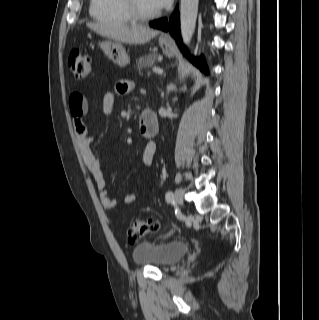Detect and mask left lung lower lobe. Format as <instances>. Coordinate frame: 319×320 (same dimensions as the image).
Here are the masks:
<instances>
[{
	"label": "left lung lower lobe",
	"instance_id": "left-lung-lower-lobe-1",
	"mask_svg": "<svg viewBox=\"0 0 319 320\" xmlns=\"http://www.w3.org/2000/svg\"><path fill=\"white\" fill-rule=\"evenodd\" d=\"M150 26L153 28L161 29L163 31H169L170 34L173 36V38H175L179 48L185 52L182 40L180 38V23H179L178 9L175 10V12L173 13L169 21H167L166 18L159 19V20L150 22ZM185 54L187 55L186 52ZM190 59L194 64L199 66L203 71L207 72V67L203 57L201 58L190 57Z\"/></svg>",
	"mask_w": 319,
	"mask_h": 320
}]
</instances>
